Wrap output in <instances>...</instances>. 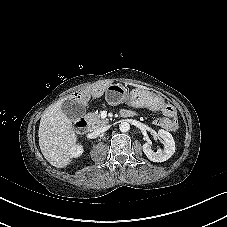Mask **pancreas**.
Segmentation results:
<instances>
[{
	"mask_svg": "<svg viewBox=\"0 0 227 227\" xmlns=\"http://www.w3.org/2000/svg\"><path fill=\"white\" fill-rule=\"evenodd\" d=\"M90 121L92 128H98L105 126L109 123L108 119H102L98 113H89L87 116Z\"/></svg>",
	"mask_w": 227,
	"mask_h": 227,
	"instance_id": "pancreas-1",
	"label": "pancreas"
}]
</instances>
